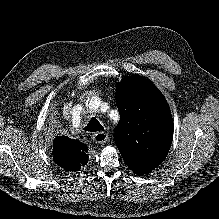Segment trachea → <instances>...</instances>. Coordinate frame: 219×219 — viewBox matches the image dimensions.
<instances>
[{
  "label": "trachea",
  "mask_w": 219,
  "mask_h": 219,
  "mask_svg": "<svg viewBox=\"0 0 219 219\" xmlns=\"http://www.w3.org/2000/svg\"><path fill=\"white\" fill-rule=\"evenodd\" d=\"M104 128L103 126L100 124V122L96 119V118H91L90 121L88 122V124L84 127V131L87 132H98V131H102Z\"/></svg>",
  "instance_id": "obj_1"
}]
</instances>
